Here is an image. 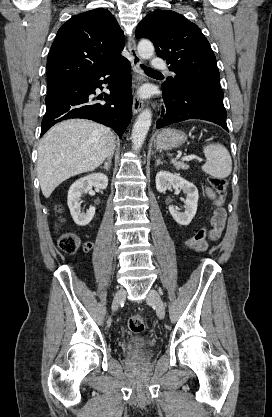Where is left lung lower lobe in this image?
<instances>
[{"label": "left lung lower lobe", "mask_w": 272, "mask_h": 417, "mask_svg": "<svg viewBox=\"0 0 272 417\" xmlns=\"http://www.w3.org/2000/svg\"><path fill=\"white\" fill-rule=\"evenodd\" d=\"M162 90L165 108L156 122L158 129L188 119H202L214 122L228 131L223 98L206 95L186 84H179L173 89L162 85Z\"/></svg>", "instance_id": "1"}]
</instances>
